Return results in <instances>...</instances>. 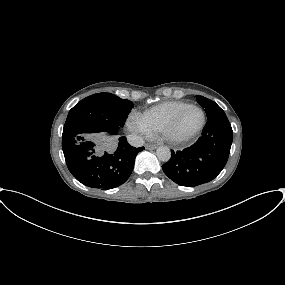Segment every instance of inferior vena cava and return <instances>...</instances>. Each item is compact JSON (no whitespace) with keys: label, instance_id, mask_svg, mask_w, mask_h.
<instances>
[{"label":"inferior vena cava","instance_id":"602c4592","mask_svg":"<svg viewBox=\"0 0 285 285\" xmlns=\"http://www.w3.org/2000/svg\"><path fill=\"white\" fill-rule=\"evenodd\" d=\"M127 141L133 147H141L144 144V140L135 134L127 135Z\"/></svg>","mask_w":285,"mask_h":285}]
</instances>
